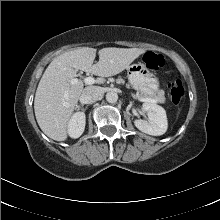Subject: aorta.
I'll return each instance as SVG.
<instances>
[{
  "instance_id": "762f6f07",
  "label": "aorta",
  "mask_w": 220,
  "mask_h": 220,
  "mask_svg": "<svg viewBox=\"0 0 220 220\" xmlns=\"http://www.w3.org/2000/svg\"><path fill=\"white\" fill-rule=\"evenodd\" d=\"M106 100L109 103H115L118 100V94L116 92L110 91L106 94Z\"/></svg>"
}]
</instances>
